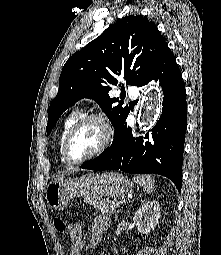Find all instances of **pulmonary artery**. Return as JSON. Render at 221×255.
Masks as SVG:
<instances>
[{"label":"pulmonary artery","instance_id":"1","mask_svg":"<svg viewBox=\"0 0 221 255\" xmlns=\"http://www.w3.org/2000/svg\"><path fill=\"white\" fill-rule=\"evenodd\" d=\"M126 91L132 97H136L137 93H138L137 92V88L134 85H132V84L126 85Z\"/></svg>","mask_w":221,"mask_h":255}]
</instances>
